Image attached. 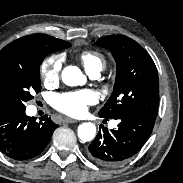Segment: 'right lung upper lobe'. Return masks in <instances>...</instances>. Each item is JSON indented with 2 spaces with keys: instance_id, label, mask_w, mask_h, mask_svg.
<instances>
[{
  "instance_id": "cb5924a9",
  "label": "right lung upper lobe",
  "mask_w": 183,
  "mask_h": 183,
  "mask_svg": "<svg viewBox=\"0 0 183 183\" xmlns=\"http://www.w3.org/2000/svg\"><path fill=\"white\" fill-rule=\"evenodd\" d=\"M70 46V43L46 34H34L19 38L0 51V70L11 65H22L27 57L35 51H41L48 55ZM1 110L3 109L0 108Z\"/></svg>"
}]
</instances>
